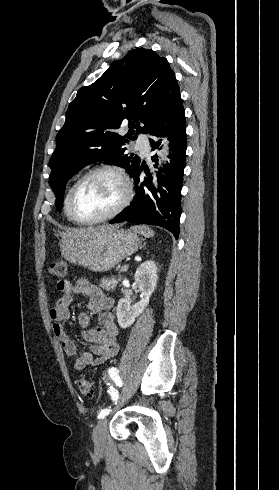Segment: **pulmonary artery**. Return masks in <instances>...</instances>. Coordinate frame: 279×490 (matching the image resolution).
<instances>
[{
  "instance_id": "1",
  "label": "pulmonary artery",
  "mask_w": 279,
  "mask_h": 490,
  "mask_svg": "<svg viewBox=\"0 0 279 490\" xmlns=\"http://www.w3.org/2000/svg\"><path fill=\"white\" fill-rule=\"evenodd\" d=\"M137 148L141 149L144 153H148L149 145L147 141L139 139L136 144Z\"/></svg>"
}]
</instances>
